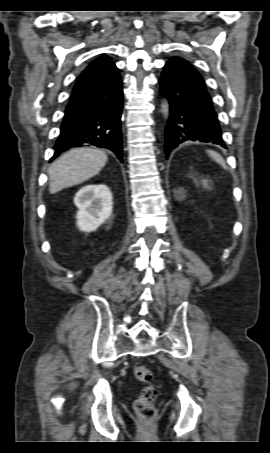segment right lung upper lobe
<instances>
[{"label": "right lung upper lobe", "mask_w": 270, "mask_h": 453, "mask_svg": "<svg viewBox=\"0 0 270 453\" xmlns=\"http://www.w3.org/2000/svg\"><path fill=\"white\" fill-rule=\"evenodd\" d=\"M115 64L110 57L102 55L90 63L86 69L80 74L74 88L90 84L102 79L111 69L115 68Z\"/></svg>", "instance_id": "1"}]
</instances>
